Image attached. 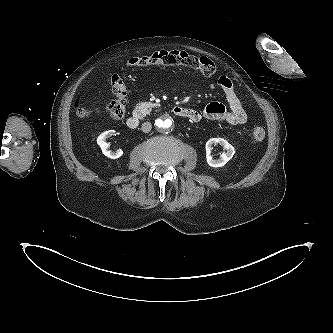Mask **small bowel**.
Masks as SVG:
<instances>
[{
	"mask_svg": "<svg viewBox=\"0 0 333 333\" xmlns=\"http://www.w3.org/2000/svg\"><path fill=\"white\" fill-rule=\"evenodd\" d=\"M210 88L213 90L220 89L223 92L229 108L219 102H211L202 112L185 108L186 112L182 117L194 122L204 118L213 122H226L231 125H241L247 121L245 109L237 97L233 83L228 76L223 75L219 77L216 83L210 85Z\"/></svg>",
	"mask_w": 333,
	"mask_h": 333,
	"instance_id": "1",
	"label": "small bowel"
}]
</instances>
